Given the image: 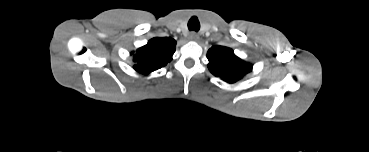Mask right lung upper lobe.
Listing matches in <instances>:
<instances>
[{
	"label": "right lung upper lobe",
	"instance_id": "right-lung-upper-lobe-1",
	"mask_svg": "<svg viewBox=\"0 0 369 152\" xmlns=\"http://www.w3.org/2000/svg\"><path fill=\"white\" fill-rule=\"evenodd\" d=\"M176 41L169 37H155L149 42L132 52L135 62L134 69L142 74H149L165 66L172 60L175 52Z\"/></svg>",
	"mask_w": 369,
	"mask_h": 152
}]
</instances>
